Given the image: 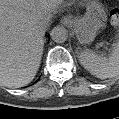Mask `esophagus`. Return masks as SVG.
<instances>
[{
  "label": "esophagus",
  "mask_w": 119,
  "mask_h": 119,
  "mask_svg": "<svg viewBox=\"0 0 119 119\" xmlns=\"http://www.w3.org/2000/svg\"><path fill=\"white\" fill-rule=\"evenodd\" d=\"M61 23H62L63 25L69 26V25H71V23H72V19H71V17H64V18L61 20Z\"/></svg>",
  "instance_id": "obj_1"
}]
</instances>
